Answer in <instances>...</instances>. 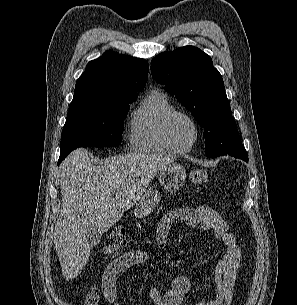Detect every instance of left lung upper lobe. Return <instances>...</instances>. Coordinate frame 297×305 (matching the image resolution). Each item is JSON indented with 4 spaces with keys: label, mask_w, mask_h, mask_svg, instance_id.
I'll return each instance as SVG.
<instances>
[{
    "label": "left lung upper lobe",
    "mask_w": 297,
    "mask_h": 305,
    "mask_svg": "<svg viewBox=\"0 0 297 305\" xmlns=\"http://www.w3.org/2000/svg\"><path fill=\"white\" fill-rule=\"evenodd\" d=\"M153 78L185 106L204 129L208 157L247 155L224 88L211 57L194 46L157 55Z\"/></svg>",
    "instance_id": "left-lung-upper-lobe-1"
}]
</instances>
